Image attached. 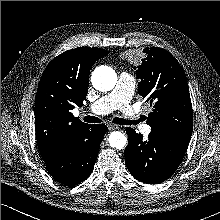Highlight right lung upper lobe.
I'll list each match as a JSON object with an SVG mask.
<instances>
[{"mask_svg": "<svg viewBox=\"0 0 220 220\" xmlns=\"http://www.w3.org/2000/svg\"><path fill=\"white\" fill-rule=\"evenodd\" d=\"M108 53L96 47H79L67 50L47 65L35 99L36 140L44 162L89 126L74 117L71 110L82 106L90 69Z\"/></svg>", "mask_w": 220, "mask_h": 220, "instance_id": "right-lung-upper-lobe-1", "label": "right lung upper lobe"}]
</instances>
